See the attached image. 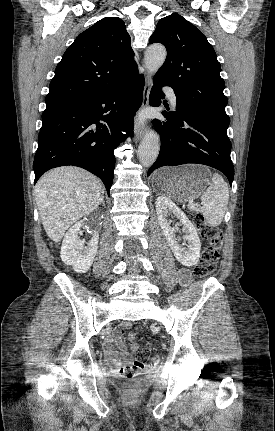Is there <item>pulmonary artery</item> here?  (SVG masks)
<instances>
[{
	"mask_svg": "<svg viewBox=\"0 0 275 431\" xmlns=\"http://www.w3.org/2000/svg\"><path fill=\"white\" fill-rule=\"evenodd\" d=\"M165 92L168 94L171 104L176 106V96L171 88H165Z\"/></svg>",
	"mask_w": 275,
	"mask_h": 431,
	"instance_id": "pulmonary-artery-1",
	"label": "pulmonary artery"
}]
</instances>
